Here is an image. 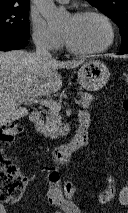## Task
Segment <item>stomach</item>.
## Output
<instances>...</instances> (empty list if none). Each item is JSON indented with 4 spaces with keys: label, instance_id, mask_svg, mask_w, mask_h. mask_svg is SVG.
<instances>
[{
    "label": "stomach",
    "instance_id": "obj_1",
    "mask_svg": "<svg viewBox=\"0 0 128 213\" xmlns=\"http://www.w3.org/2000/svg\"><path fill=\"white\" fill-rule=\"evenodd\" d=\"M77 77L82 88L97 91L107 83L110 72L104 63L92 60L81 65Z\"/></svg>",
    "mask_w": 128,
    "mask_h": 213
}]
</instances>
